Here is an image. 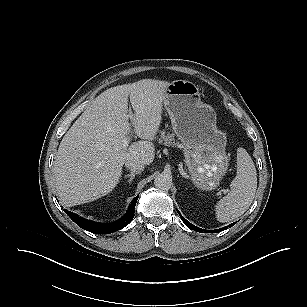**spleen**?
<instances>
[{"label":"spleen","instance_id":"obj_1","mask_svg":"<svg viewBox=\"0 0 307 307\" xmlns=\"http://www.w3.org/2000/svg\"><path fill=\"white\" fill-rule=\"evenodd\" d=\"M257 189L256 168L244 148L237 150V175L230 184V191L216 205V218L228 222L238 218L253 202Z\"/></svg>","mask_w":307,"mask_h":307}]
</instances>
